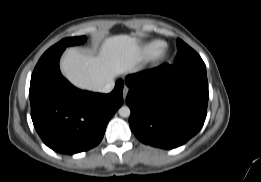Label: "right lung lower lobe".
Masks as SVG:
<instances>
[{
    "instance_id": "obj_1",
    "label": "right lung lower lobe",
    "mask_w": 261,
    "mask_h": 182,
    "mask_svg": "<svg viewBox=\"0 0 261 182\" xmlns=\"http://www.w3.org/2000/svg\"><path fill=\"white\" fill-rule=\"evenodd\" d=\"M64 49L46 51L31 77V118L43 142L56 152L75 154L102 140L108 121L123 103L121 79L110 94L81 91L59 69Z\"/></svg>"
}]
</instances>
